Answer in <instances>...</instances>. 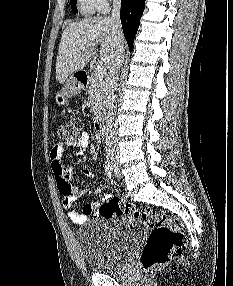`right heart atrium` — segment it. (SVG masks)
Masks as SVG:
<instances>
[{
	"instance_id": "d8ad5b80",
	"label": "right heart atrium",
	"mask_w": 233,
	"mask_h": 286,
	"mask_svg": "<svg viewBox=\"0 0 233 286\" xmlns=\"http://www.w3.org/2000/svg\"><path fill=\"white\" fill-rule=\"evenodd\" d=\"M99 11H106L111 0H94Z\"/></svg>"
}]
</instances>
